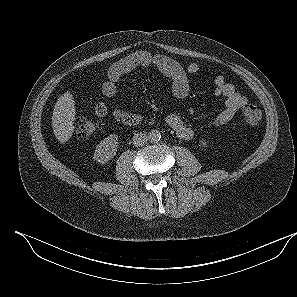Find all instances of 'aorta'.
Listing matches in <instances>:
<instances>
[{
	"mask_svg": "<svg viewBox=\"0 0 297 297\" xmlns=\"http://www.w3.org/2000/svg\"><path fill=\"white\" fill-rule=\"evenodd\" d=\"M148 139L151 142H158L161 139V133L157 129H152L148 133Z\"/></svg>",
	"mask_w": 297,
	"mask_h": 297,
	"instance_id": "1",
	"label": "aorta"
}]
</instances>
